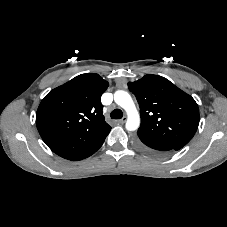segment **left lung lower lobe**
<instances>
[{"label":"left lung lower lobe","mask_w":227,"mask_h":227,"mask_svg":"<svg viewBox=\"0 0 227 227\" xmlns=\"http://www.w3.org/2000/svg\"><path fill=\"white\" fill-rule=\"evenodd\" d=\"M136 144L142 151L154 156H162L172 151L167 146L148 141H141L140 139L136 140Z\"/></svg>","instance_id":"1"}]
</instances>
